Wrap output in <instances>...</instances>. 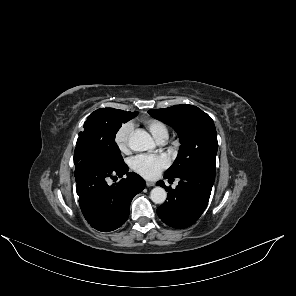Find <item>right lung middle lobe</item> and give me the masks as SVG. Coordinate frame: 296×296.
<instances>
[{
  "instance_id": "dd1d6c3e",
  "label": "right lung middle lobe",
  "mask_w": 296,
  "mask_h": 296,
  "mask_svg": "<svg viewBox=\"0 0 296 296\" xmlns=\"http://www.w3.org/2000/svg\"><path fill=\"white\" fill-rule=\"evenodd\" d=\"M137 114L138 112L114 108L94 111L85 121V130L79 133L76 146L95 151L113 167L124 164L119 147L115 143V135L122 123H126Z\"/></svg>"
}]
</instances>
